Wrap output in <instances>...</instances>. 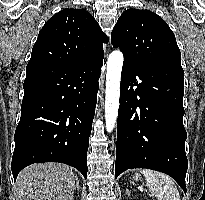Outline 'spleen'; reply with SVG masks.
Returning <instances> with one entry per match:
<instances>
[{"mask_svg": "<svg viewBox=\"0 0 205 200\" xmlns=\"http://www.w3.org/2000/svg\"><path fill=\"white\" fill-rule=\"evenodd\" d=\"M146 180L150 193L158 200H181L174 181L168 175L151 169L140 171Z\"/></svg>", "mask_w": 205, "mask_h": 200, "instance_id": "spleen-1", "label": "spleen"}]
</instances>
